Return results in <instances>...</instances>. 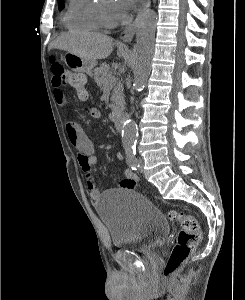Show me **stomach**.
I'll list each match as a JSON object with an SVG mask.
<instances>
[{"mask_svg":"<svg viewBox=\"0 0 245 300\" xmlns=\"http://www.w3.org/2000/svg\"><path fill=\"white\" fill-rule=\"evenodd\" d=\"M65 64L75 72L85 73L92 76L97 62L95 60L84 59L76 54L67 52L64 55Z\"/></svg>","mask_w":245,"mask_h":300,"instance_id":"stomach-1","label":"stomach"}]
</instances>
